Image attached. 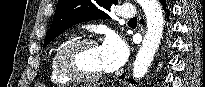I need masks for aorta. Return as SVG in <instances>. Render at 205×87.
I'll return each instance as SVG.
<instances>
[{"label": "aorta", "mask_w": 205, "mask_h": 87, "mask_svg": "<svg viewBox=\"0 0 205 87\" xmlns=\"http://www.w3.org/2000/svg\"><path fill=\"white\" fill-rule=\"evenodd\" d=\"M146 20L147 31L133 66V78L141 79L147 73L162 38L164 16L158 0H138Z\"/></svg>", "instance_id": "762f6f07"}]
</instances>
